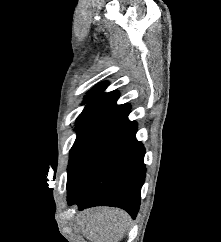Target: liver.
<instances>
[{"label":"liver","mask_w":221,"mask_h":242,"mask_svg":"<svg viewBox=\"0 0 221 242\" xmlns=\"http://www.w3.org/2000/svg\"><path fill=\"white\" fill-rule=\"evenodd\" d=\"M129 223V215L115 208L87 209L77 217L82 235L91 242H119Z\"/></svg>","instance_id":"liver-1"}]
</instances>
